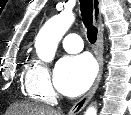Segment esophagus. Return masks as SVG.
Wrapping results in <instances>:
<instances>
[{"label":"esophagus","instance_id":"1","mask_svg":"<svg viewBox=\"0 0 131 115\" xmlns=\"http://www.w3.org/2000/svg\"><path fill=\"white\" fill-rule=\"evenodd\" d=\"M93 19L98 29L97 41L95 46V56L98 61L99 71L91 89L79 101H77L73 105V107L70 109L68 113L69 115H77L79 112H81L84 109V107L87 105V103L91 100V98L95 94L102 77L104 63H103V27H102L100 0H93Z\"/></svg>","mask_w":131,"mask_h":115}]
</instances>
